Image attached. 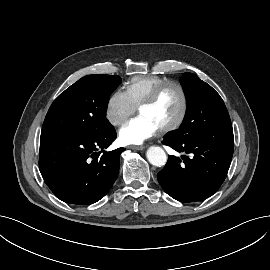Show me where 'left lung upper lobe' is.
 <instances>
[{
	"label": "left lung upper lobe",
	"instance_id": "left-lung-upper-lobe-1",
	"mask_svg": "<svg viewBox=\"0 0 270 270\" xmlns=\"http://www.w3.org/2000/svg\"><path fill=\"white\" fill-rule=\"evenodd\" d=\"M180 82L188 96V109L181 127L172 135L177 139H185L194 132L233 135L231 120L220 95L193 73H185Z\"/></svg>",
	"mask_w": 270,
	"mask_h": 270
}]
</instances>
